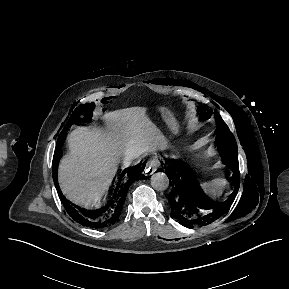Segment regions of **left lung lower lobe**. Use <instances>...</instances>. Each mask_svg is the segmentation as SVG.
I'll use <instances>...</instances> for the list:
<instances>
[{"mask_svg":"<svg viewBox=\"0 0 289 289\" xmlns=\"http://www.w3.org/2000/svg\"><path fill=\"white\" fill-rule=\"evenodd\" d=\"M232 181L235 190L225 202H215L207 198L199 187L195 186L193 172L182 160L172 159L166 173L172 186L167 195L170 203L171 216L185 227L207 225L221 217L232 204L239 186V167L232 165Z\"/></svg>","mask_w":289,"mask_h":289,"instance_id":"obj_1","label":"left lung lower lobe"}]
</instances>
